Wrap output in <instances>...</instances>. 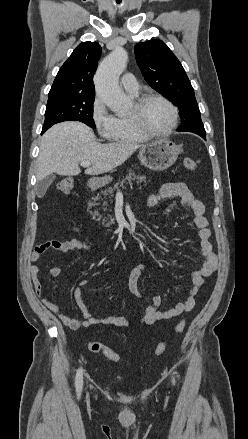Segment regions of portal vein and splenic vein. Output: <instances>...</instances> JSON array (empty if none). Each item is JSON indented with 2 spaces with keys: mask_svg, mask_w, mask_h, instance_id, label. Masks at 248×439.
Wrapping results in <instances>:
<instances>
[{
  "mask_svg": "<svg viewBox=\"0 0 248 439\" xmlns=\"http://www.w3.org/2000/svg\"><path fill=\"white\" fill-rule=\"evenodd\" d=\"M80 165L83 167H89L91 165V163L88 161H84V162H81Z\"/></svg>",
  "mask_w": 248,
  "mask_h": 439,
  "instance_id": "1",
  "label": "portal vein and splenic vein"
}]
</instances>
